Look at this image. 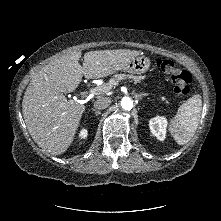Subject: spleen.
Returning <instances> with one entry per match:
<instances>
[{
    "instance_id": "spleen-1",
    "label": "spleen",
    "mask_w": 221,
    "mask_h": 221,
    "mask_svg": "<svg viewBox=\"0 0 221 221\" xmlns=\"http://www.w3.org/2000/svg\"><path fill=\"white\" fill-rule=\"evenodd\" d=\"M202 100L199 94H194L178 108L171 119L169 131L178 145L188 143L194 136L201 117Z\"/></svg>"
}]
</instances>
